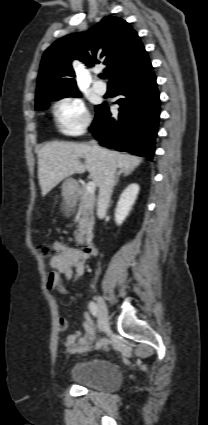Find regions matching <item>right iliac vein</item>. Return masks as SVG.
I'll list each match as a JSON object with an SVG mask.
<instances>
[{
  "instance_id": "obj_1",
  "label": "right iliac vein",
  "mask_w": 208,
  "mask_h": 425,
  "mask_svg": "<svg viewBox=\"0 0 208 425\" xmlns=\"http://www.w3.org/2000/svg\"><path fill=\"white\" fill-rule=\"evenodd\" d=\"M98 309V328L100 331H106L109 328L108 310L104 299L99 296L97 298Z\"/></svg>"
}]
</instances>
